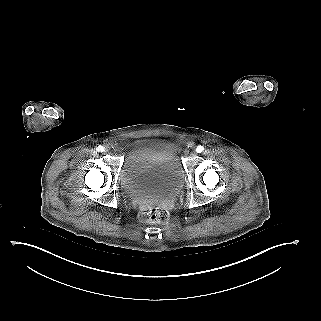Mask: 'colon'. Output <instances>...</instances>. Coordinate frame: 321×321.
<instances>
[{
	"instance_id": "5ec220e1",
	"label": "colon",
	"mask_w": 321,
	"mask_h": 321,
	"mask_svg": "<svg viewBox=\"0 0 321 321\" xmlns=\"http://www.w3.org/2000/svg\"><path fill=\"white\" fill-rule=\"evenodd\" d=\"M168 217L167 209L161 206L147 207L140 212V219L146 223H162Z\"/></svg>"
}]
</instances>
